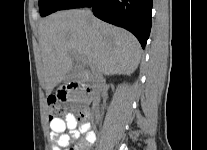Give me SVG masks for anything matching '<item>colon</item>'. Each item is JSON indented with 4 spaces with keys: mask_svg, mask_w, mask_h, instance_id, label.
<instances>
[{
    "mask_svg": "<svg viewBox=\"0 0 207 150\" xmlns=\"http://www.w3.org/2000/svg\"><path fill=\"white\" fill-rule=\"evenodd\" d=\"M48 111L50 120L62 118L66 114V105L60 98L56 96H51L48 99ZM78 116L80 119L84 118L82 112L79 113Z\"/></svg>",
    "mask_w": 207,
    "mask_h": 150,
    "instance_id": "5ec220e1",
    "label": "colon"
}]
</instances>
